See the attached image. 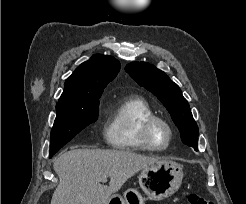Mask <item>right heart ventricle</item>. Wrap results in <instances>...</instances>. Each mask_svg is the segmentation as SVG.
Masks as SVG:
<instances>
[{
  "label": "right heart ventricle",
  "instance_id": "obj_1",
  "mask_svg": "<svg viewBox=\"0 0 246 204\" xmlns=\"http://www.w3.org/2000/svg\"><path fill=\"white\" fill-rule=\"evenodd\" d=\"M154 110L150 103L141 96H127L114 103L107 114L104 126L106 143L118 150H145L139 131L142 123Z\"/></svg>",
  "mask_w": 246,
  "mask_h": 204
}]
</instances>
